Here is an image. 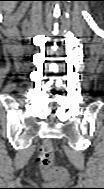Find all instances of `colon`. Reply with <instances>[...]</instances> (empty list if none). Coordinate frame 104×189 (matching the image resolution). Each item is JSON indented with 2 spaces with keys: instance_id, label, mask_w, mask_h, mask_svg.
I'll return each instance as SVG.
<instances>
[{
  "instance_id": "obj_1",
  "label": "colon",
  "mask_w": 104,
  "mask_h": 189,
  "mask_svg": "<svg viewBox=\"0 0 104 189\" xmlns=\"http://www.w3.org/2000/svg\"><path fill=\"white\" fill-rule=\"evenodd\" d=\"M54 148L50 143H44L39 152V162L43 169L44 176L51 180L59 179L62 175L59 171L51 169L54 163Z\"/></svg>"
}]
</instances>
